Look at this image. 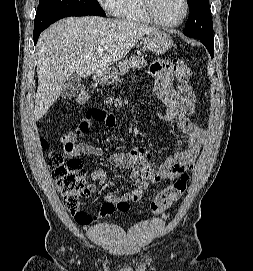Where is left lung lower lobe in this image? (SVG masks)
Here are the masks:
<instances>
[{
    "label": "left lung lower lobe",
    "mask_w": 253,
    "mask_h": 271,
    "mask_svg": "<svg viewBox=\"0 0 253 271\" xmlns=\"http://www.w3.org/2000/svg\"><path fill=\"white\" fill-rule=\"evenodd\" d=\"M199 39L207 48V50L210 53L211 58L214 57V40H204L201 38H197Z\"/></svg>",
    "instance_id": "1"
}]
</instances>
